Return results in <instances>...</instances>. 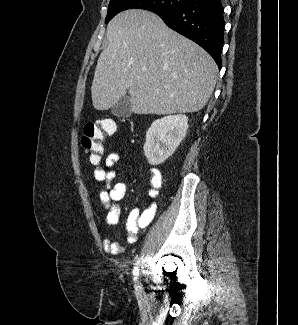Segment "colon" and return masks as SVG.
Instances as JSON below:
<instances>
[{"label": "colon", "mask_w": 298, "mask_h": 325, "mask_svg": "<svg viewBox=\"0 0 298 325\" xmlns=\"http://www.w3.org/2000/svg\"><path fill=\"white\" fill-rule=\"evenodd\" d=\"M116 123L111 119H101L85 125L81 144L89 155L92 164H95L104 151V141L114 134Z\"/></svg>", "instance_id": "1"}]
</instances>
